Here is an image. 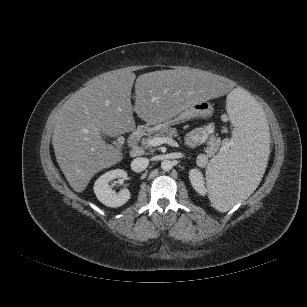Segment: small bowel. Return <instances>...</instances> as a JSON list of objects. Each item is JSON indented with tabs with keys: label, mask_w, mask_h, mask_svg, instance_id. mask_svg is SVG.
Wrapping results in <instances>:
<instances>
[{
	"label": "small bowel",
	"mask_w": 307,
	"mask_h": 307,
	"mask_svg": "<svg viewBox=\"0 0 307 307\" xmlns=\"http://www.w3.org/2000/svg\"><path fill=\"white\" fill-rule=\"evenodd\" d=\"M215 131L213 123L206 124L201 128L191 131L186 137V143L190 146H196L204 143L208 136Z\"/></svg>",
	"instance_id": "obj_1"
}]
</instances>
